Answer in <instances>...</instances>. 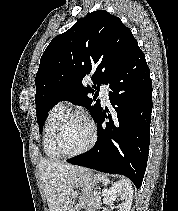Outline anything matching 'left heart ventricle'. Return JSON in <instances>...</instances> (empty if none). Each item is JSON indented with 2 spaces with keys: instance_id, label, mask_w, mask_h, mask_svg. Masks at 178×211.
I'll return each instance as SVG.
<instances>
[{
  "instance_id": "obj_1",
  "label": "left heart ventricle",
  "mask_w": 178,
  "mask_h": 211,
  "mask_svg": "<svg viewBox=\"0 0 178 211\" xmlns=\"http://www.w3.org/2000/svg\"><path fill=\"white\" fill-rule=\"evenodd\" d=\"M90 139V129L81 118L69 120L60 136V149L65 153H75L84 148Z\"/></svg>"
}]
</instances>
